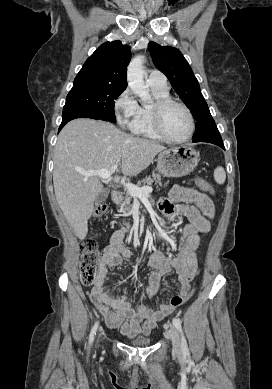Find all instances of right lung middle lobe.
<instances>
[{
    "instance_id": "obj_1",
    "label": "right lung middle lobe",
    "mask_w": 272,
    "mask_h": 389,
    "mask_svg": "<svg viewBox=\"0 0 272 389\" xmlns=\"http://www.w3.org/2000/svg\"><path fill=\"white\" fill-rule=\"evenodd\" d=\"M108 85L80 83L74 84L67 95L63 114L82 112L101 120L116 123L115 99L124 91Z\"/></svg>"
}]
</instances>
